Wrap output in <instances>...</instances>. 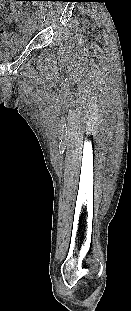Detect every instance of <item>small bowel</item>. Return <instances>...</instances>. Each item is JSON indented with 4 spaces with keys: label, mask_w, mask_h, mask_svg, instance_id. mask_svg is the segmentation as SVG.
<instances>
[{
    "label": "small bowel",
    "mask_w": 131,
    "mask_h": 311,
    "mask_svg": "<svg viewBox=\"0 0 131 311\" xmlns=\"http://www.w3.org/2000/svg\"><path fill=\"white\" fill-rule=\"evenodd\" d=\"M0 35L3 36V37L9 36V33H8V32L3 31L1 24H0Z\"/></svg>",
    "instance_id": "small-bowel-1"
}]
</instances>
